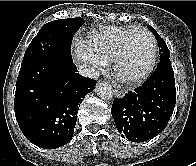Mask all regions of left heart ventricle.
<instances>
[{
    "label": "left heart ventricle",
    "mask_w": 196,
    "mask_h": 166,
    "mask_svg": "<svg viewBox=\"0 0 196 166\" xmlns=\"http://www.w3.org/2000/svg\"><path fill=\"white\" fill-rule=\"evenodd\" d=\"M151 54V41L147 34L135 33L129 42L128 51L120 63V75L130 78L141 73L149 64Z\"/></svg>",
    "instance_id": "1"
}]
</instances>
